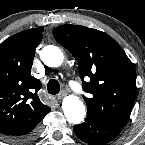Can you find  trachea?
Wrapping results in <instances>:
<instances>
[{"label": "trachea", "instance_id": "trachea-1", "mask_svg": "<svg viewBox=\"0 0 145 145\" xmlns=\"http://www.w3.org/2000/svg\"><path fill=\"white\" fill-rule=\"evenodd\" d=\"M47 90L49 94L55 95L60 91V84L55 79H50L47 84Z\"/></svg>", "mask_w": 145, "mask_h": 145}]
</instances>
